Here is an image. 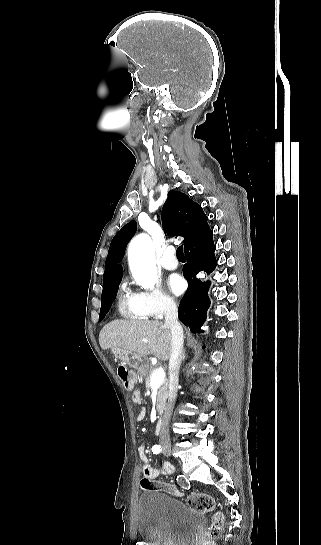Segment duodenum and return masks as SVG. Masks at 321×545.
Instances as JSON below:
<instances>
[{
  "label": "duodenum",
  "instance_id": "1",
  "mask_svg": "<svg viewBox=\"0 0 321 545\" xmlns=\"http://www.w3.org/2000/svg\"><path fill=\"white\" fill-rule=\"evenodd\" d=\"M162 425H163V418H162V417H159L158 420H157V422H156V427H155V432H156V434H160V433H161Z\"/></svg>",
  "mask_w": 321,
  "mask_h": 545
}]
</instances>
